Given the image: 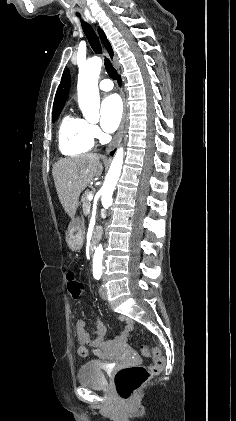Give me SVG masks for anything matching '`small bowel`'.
I'll return each mask as SVG.
<instances>
[{"label":"small bowel","instance_id":"c3829d8e","mask_svg":"<svg viewBox=\"0 0 236 421\" xmlns=\"http://www.w3.org/2000/svg\"><path fill=\"white\" fill-rule=\"evenodd\" d=\"M83 328V323L82 322H79L78 323V329L80 330V329H82ZM99 328H101L102 330H103V332L105 333V331H106V327H105V325L102 323V322H100V321H98L97 322V331H98V329ZM79 354L81 355V356H83V357H85L86 355H87V351H86V349L84 348V347H81L80 349H79Z\"/></svg>","mask_w":236,"mask_h":421}]
</instances>
